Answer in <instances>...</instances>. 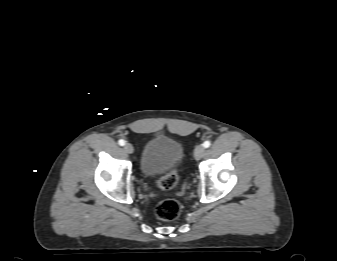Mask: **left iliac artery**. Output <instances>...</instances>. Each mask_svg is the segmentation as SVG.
I'll return each instance as SVG.
<instances>
[{
  "mask_svg": "<svg viewBox=\"0 0 337 261\" xmlns=\"http://www.w3.org/2000/svg\"><path fill=\"white\" fill-rule=\"evenodd\" d=\"M210 145H211L210 141H205V142L203 143V146H204L205 148L210 147Z\"/></svg>",
  "mask_w": 337,
  "mask_h": 261,
  "instance_id": "44dca946",
  "label": "left iliac artery"
}]
</instances>
